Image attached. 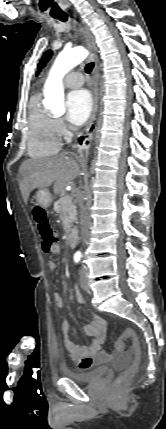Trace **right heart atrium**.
Wrapping results in <instances>:
<instances>
[{
  "mask_svg": "<svg viewBox=\"0 0 166 429\" xmlns=\"http://www.w3.org/2000/svg\"><path fill=\"white\" fill-rule=\"evenodd\" d=\"M54 127L57 134H64L66 127L61 119H54Z\"/></svg>",
  "mask_w": 166,
  "mask_h": 429,
  "instance_id": "right-heart-atrium-1",
  "label": "right heart atrium"
}]
</instances>
